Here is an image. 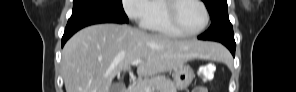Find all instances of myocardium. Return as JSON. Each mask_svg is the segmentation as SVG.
<instances>
[{"mask_svg":"<svg viewBox=\"0 0 296 92\" xmlns=\"http://www.w3.org/2000/svg\"><path fill=\"white\" fill-rule=\"evenodd\" d=\"M184 1H194L196 3H198L203 11H204V15H205V20L203 25L196 31H186L184 30L177 19V9L178 6L180 5V3L184 2ZM166 18L167 21L169 23V25L179 34L183 35V36H195L200 34L201 32H203L208 24H209V20H210V15H209V11L205 5V3L201 0H171L167 2V9H166Z\"/></svg>","mask_w":296,"mask_h":92,"instance_id":"obj_1","label":"myocardium"}]
</instances>
